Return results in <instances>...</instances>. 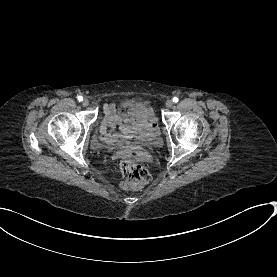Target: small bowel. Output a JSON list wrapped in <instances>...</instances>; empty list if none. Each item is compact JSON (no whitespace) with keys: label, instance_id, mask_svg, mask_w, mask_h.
<instances>
[{"label":"small bowel","instance_id":"small-bowel-1","mask_svg":"<svg viewBox=\"0 0 277 277\" xmlns=\"http://www.w3.org/2000/svg\"><path fill=\"white\" fill-rule=\"evenodd\" d=\"M106 117L102 121L100 132L102 142L113 145L118 136L112 131L119 126L124 134L140 132L145 135H156L158 130L157 119L153 109L147 101L137 102L126 112H117L114 104L105 105Z\"/></svg>","mask_w":277,"mask_h":277}]
</instances>
